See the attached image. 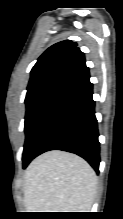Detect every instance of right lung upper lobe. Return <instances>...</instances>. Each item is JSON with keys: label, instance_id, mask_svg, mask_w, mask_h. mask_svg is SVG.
Listing matches in <instances>:
<instances>
[{"label": "right lung upper lobe", "instance_id": "cb5924a9", "mask_svg": "<svg viewBox=\"0 0 123 219\" xmlns=\"http://www.w3.org/2000/svg\"><path fill=\"white\" fill-rule=\"evenodd\" d=\"M88 71L84 53L71 40L61 41L48 48L31 70L27 90L55 80L72 81Z\"/></svg>", "mask_w": 123, "mask_h": 219}]
</instances>
